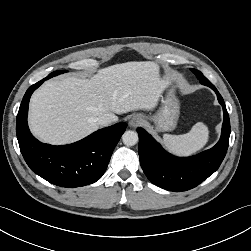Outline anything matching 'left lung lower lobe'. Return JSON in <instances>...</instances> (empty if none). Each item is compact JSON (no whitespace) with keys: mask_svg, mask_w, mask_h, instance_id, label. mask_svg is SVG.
Masks as SVG:
<instances>
[{"mask_svg":"<svg viewBox=\"0 0 251 251\" xmlns=\"http://www.w3.org/2000/svg\"><path fill=\"white\" fill-rule=\"evenodd\" d=\"M201 84L215 91L224 112L221 137L214 147L195 156L176 157L166 152L144 129H137L138 153L145 175L153 184L169 191H187L199 185L219 168L227 152L230 121L224 100L210 81Z\"/></svg>","mask_w":251,"mask_h":251,"instance_id":"0a47b994","label":"left lung lower lobe"}]
</instances>
